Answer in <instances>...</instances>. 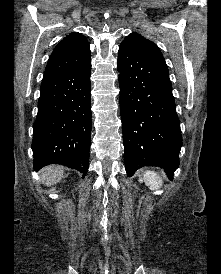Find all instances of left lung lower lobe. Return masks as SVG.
Instances as JSON below:
<instances>
[{"label": "left lung lower lobe", "instance_id": "left-lung-lower-lobe-1", "mask_svg": "<svg viewBox=\"0 0 221 274\" xmlns=\"http://www.w3.org/2000/svg\"><path fill=\"white\" fill-rule=\"evenodd\" d=\"M117 69L127 175L158 166L172 179L182 137L168 67L121 44Z\"/></svg>", "mask_w": 221, "mask_h": 274}]
</instances>
